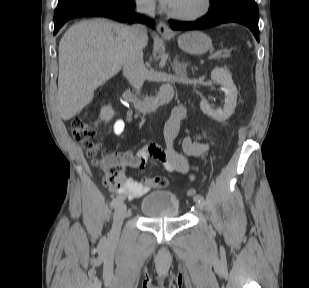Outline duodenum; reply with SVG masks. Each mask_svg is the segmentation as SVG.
<instances>
[{
  "instance_id": "410a0bca",
  "label": "duodenum",
  "mask_w": 309,
  "mask_h": 288,
  "mask_svg": "<svg viewBox=\"0 0 309 288\" xmlns=\"http://www.w3.org/2000/svg\"><path fill=\"white\" fill-rule=\"evenodd\" d=\"M123 97L127 102L134 104L144 112H148L169 103L173 98V90L171 86L166 85L157 95L145 101L137 100L129 91H125Z\"/></svg>"
}]
</instances>
